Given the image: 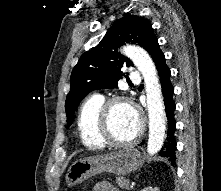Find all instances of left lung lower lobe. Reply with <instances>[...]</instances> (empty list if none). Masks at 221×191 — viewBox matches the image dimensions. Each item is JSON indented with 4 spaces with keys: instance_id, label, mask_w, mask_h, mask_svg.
Wrapping results in <instances>:
<instances>
[{
    "instance_id": "left-lung-lower-lobe-1",
    "label": "left lung lower lobe",
    "mask_w": 221,
    "mask_h": 191,
    "mask_svg": "<svg viewBox=\"0 0 221 191\" xmlns=\"http://www.w3.org/2000/svg\"><path fill=\"white\" fill-rule=\"evenodd\" d=\"M148 53L151 55L153 61L155 62L158 74L160 76V83L162 87L165 111L168 122L167 136L159 152V155L174 163L176 160V139L174 135L176 127L174 111L176 108V104L173 101L174 88L170 82L171 72L166 65L165 56L159 48L157 38L154 39L151 43L148 49Z\"/></svg>"
}]
</instances>
